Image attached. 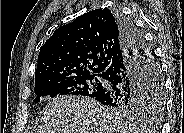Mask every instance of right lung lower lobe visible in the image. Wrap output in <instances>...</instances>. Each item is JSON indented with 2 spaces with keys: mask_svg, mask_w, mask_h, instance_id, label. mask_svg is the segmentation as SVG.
Returning a JSON list of instances; mask_svg holds the SVG:
<instances>
[{
  "mask_svg": "<svg viewBox=\"0 0 184 133\" xmlns=\"http://www.w3.org/2000/svg\"><path fill=\"white\" fill-rule=\"evenodd\" d=\"M115 16L121 30V50L102 74L110 86L93 97L109 107L121 99L141 100L150 80L148 50L143 37L131 20L119 12Z\"/></svg>",
  "mask_w": 184,
  "mask_h": 133,
  "instance_id": "1",
  "label": "right lung lower lobe"
}]
</instances>
